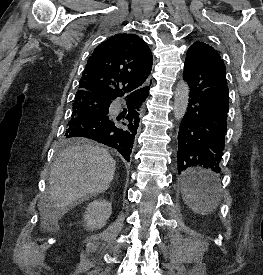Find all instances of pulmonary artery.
I'll list each match as a JSON object with an SVG mask.
<instances>
[{
	"label": "pulmonary artery",
	"mask_w": 263,
	"mask_h": 275,
	"mask_svg": "<svg viewBox=\"0 0 263 275\" xmlns=\"http://www.w3.org/2000/svg\"><path fill=\"white\" fill-rule=\"evenodd\" d=\"M119 105H120V104H119L118 102H116L114 106H115V108H118Z\"/></svg>",
	"instance_id": "e3ab8cb5"
}]
</instances>
